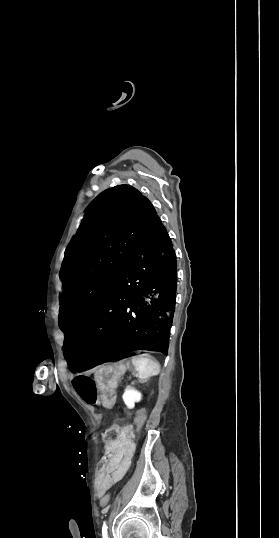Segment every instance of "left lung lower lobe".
Listing matches in <instances>:
<instances>
[{
  "label": "left lung lower lobe",
  "instance_id": "obj_1",
  "mask_svg": "<svg viewBox=\"0 0 279 538\" xmlns=\"http://www.w3.org/2000/svg\"><path fill=\"white\" fill-rule=\"evenodd\" d=\"M176 256L158 217L134 251L93 318L65 335L72 372L132 350L168 352L177 284Z\"/></svg>",
  "mask_w": 279,
  "mask_h": 538
}]
</instances>
